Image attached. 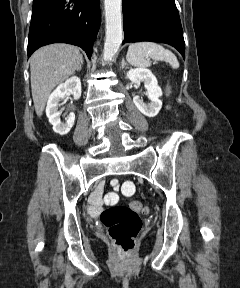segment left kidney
<instances>
[{
  "instance_id": "obj_1",
  "label": "left kidney",
  "mask_w": 240,
  "mask_h": 288,
  "mask_svg": "<svg viewBox=\"0 0 240 288\" xmlns=\"http://www.w3.org/2000/svg\"><path fill=\"white\" fill-rule=\"evenodd\" d=\"M126 78L132 83L139 85L144 83V87L147 90V96L150 99V103H144L139 96L133 97L135 106L141 113L148 117H154L158 114L162 107L160 97L162 96V90L158 86L156 77L146 68L130 69L126 73Z\"/></svg>"
}]
</instances>
